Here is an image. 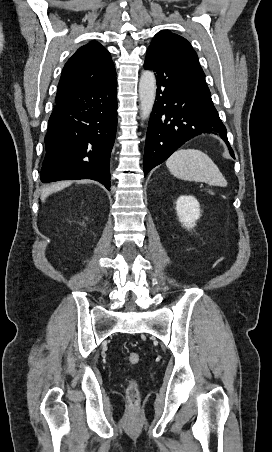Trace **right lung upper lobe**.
<instances>
[{
	"instance_id": "right-lung-upper-lobe-1",
	"label": "right lung upper lobe",
	"mask_w": 272,
	"mask_h": 452,
	"mask_svg": "<svg viewBox=\"0 0 272 452\" xmlns=\"http://www.w3.org/2000/svg\"><path fill=\"white\" fill-rule=\"evenodd\" d=\"M116 77L110 53L97 41L79 48L67 61L57 88L56 104L100 87Z\"/></svg>"
}]
</instances>
